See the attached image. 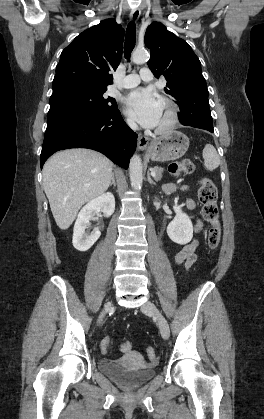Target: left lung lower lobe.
Returning a JSON list of instances; mask_svg holds the SVG:
<instances>
[{
  "instance_id": "obj_1",
  "label": "left lung lower lobe",
  "mask_w": 264,
  "mask_h": 419,
  "mask_svg": "<svg viewBox=\"0 0 264 419\" xmlns=\"http://www.w3.org/2000/svg\"><path fill=\"white\" fill-rule=\"evenodd\" d=\"M179 117L183 126L214 132L208 99H202L196 104L181 107Z\"/></svg>"
}]
</instances>
